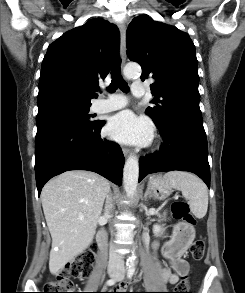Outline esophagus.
Instances as JSON below:
<instances>
[{
  "label": "esophagus",
  "instance_id": "34e87169",
  "mask_svg": "<svg viewBox=\"0 0 245 293\" xmlns=\"http://www.w3.org/2000/svg\"><path fill=\"white\" fill-rule=\"evenodd\" d=\"M118 27H119L120 34H121L120 54H121L122 65H124L126 62V26H125V23L119 22ZM122 152H123L124 156H128L130 153V150L126 147H123Z\"/></svg>",
  "mask_w": 245,
  "mask_h": 293
}]
</instances>
